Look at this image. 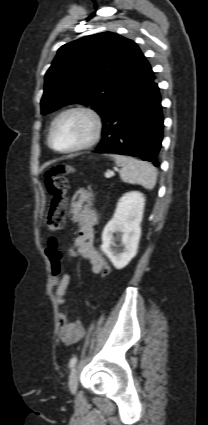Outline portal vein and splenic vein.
I'll return each instance as SVG.
<instances>
[{
  "instance_id": "obj_1",
  "label": "portal vein and splenic vein",
  "mask_w": 208,
  "mask_h": 425,
  "mask_svg": "<svg viewBox=\"0 0 208 425\" xmlns=\"http://www.w3.org/2000/svg\"><path fill=\"white\" fill-rule=\"evenodd\" d=\"M112 175H113V172H111V171H108V172L105 173L106 178H111Z\"/></svg>"
}]
</instances>
